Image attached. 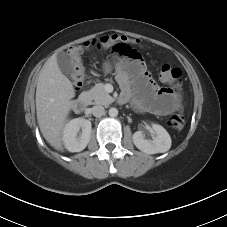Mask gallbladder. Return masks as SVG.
<instances>
[{
    "label": "gallbladder",
    "mask_w": 227,
    "mask_h": 227,
    "mask_svg": "<svg viewBox=\"0 0 227 227\" xmlns=\"http://www.w3.org/2000/svg\"><path fill=\"white\" fill-rule=\"evenodd\" d=\"M56 58L60 70L66 75H71L73 66L69 56L65 52H60Z\"/></svg>",
    "instance_id": "bac80fb5"
}]
</instances>
